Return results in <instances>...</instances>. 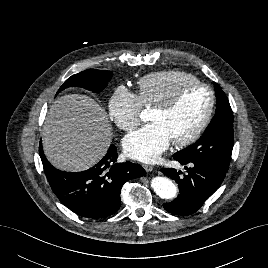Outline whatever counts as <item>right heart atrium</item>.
I'll use <instances>...</instances> for the list:
<instances>
[{
    "label": "right heart atrium",
    "instance_id": "d8ad5b80",
    "mask_svg": "<svg viewBox=\"0 0 268 268\" xmlns=\"http://www.w3.org/2000/svg\"><path fill=\"white\" fill-rule=\"evenodd\" d=\"M142 102L139 94L124 86H118L108 101V114L124 131H130L140 123Z\"/></svg>",
    "mask_w": 268,
    "mask_h": 268
}]
</instances>
